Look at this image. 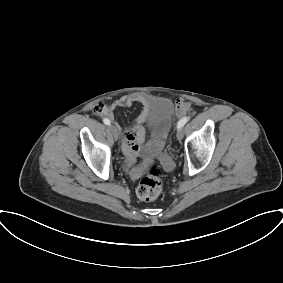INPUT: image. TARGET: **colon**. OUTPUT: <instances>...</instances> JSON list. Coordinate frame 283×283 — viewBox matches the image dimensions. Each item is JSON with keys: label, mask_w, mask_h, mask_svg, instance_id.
I'll return each instance as SVG.
<instances>
[{"label": "colon", "mask_w": 283, "mask_h": 283, "mask_svg": "<svg viewBox=\"0 0 283 283\" xmlns=\"http://www.w3.org/2000/svg\"><path fill=\"white\" fill-rule=\"evenodd\" d=\"M94 110L96 113L103 111L101 105H98ZM162 188V171L159 166L151 163L137 187V195L143 201H154L161 194Z\"/></svg>", "instance_id": "1"}]
</instances>
